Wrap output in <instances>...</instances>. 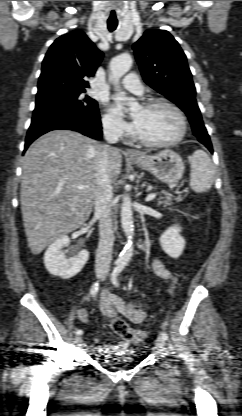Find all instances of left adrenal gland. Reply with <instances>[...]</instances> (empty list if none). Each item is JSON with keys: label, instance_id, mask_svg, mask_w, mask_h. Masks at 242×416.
I'll use <instances>...</instances> for the list:
<instances>
[{"label": "left adrenal gland", "instance_id": "1", "mask_svg": "<svg viewBox=\"0 0 242 416\" xmlns=\"http://www.w3.org/2000/svg\"><path fill=\"white\" fill-rule=\"evenodd\" d=\"M145 185H146V183L144 182V183L142 184V188H143V187H145Z\"/></svg>", "mask_w": 242, "mask_h": 416}]
</instances>
